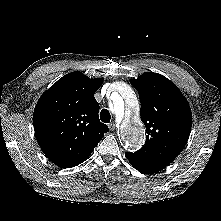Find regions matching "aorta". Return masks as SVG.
I'll use <instances>...</instances> for the list:
<instances>
[{
	"label": "aorta",
	"mask_w": 221,
	"mask_h": 221,
	"mask_svg": "<svg viewBox=\"0 0 221 221\" xmlns=\"http://www.w3.org/2000/svg\"><path fill=\"white\" fill-rule=\"evenodd\" d=\"M137 109L138 100L134 91L130 86L124 85L122 96L117 94L114 98V112L117 120L121 122L122 141L129 150L140 148L145 139V130L137 115Z\"/></svg>",
	"instance_id": "1"
}]
</instances>
